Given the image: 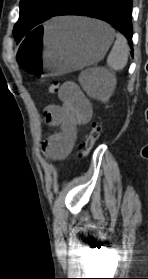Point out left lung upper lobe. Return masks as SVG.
I'll return each instance as SVG.
<instances>
[{"label": "left lung upper lobe", "mask_w": 148, "mask_h": 279, "mask_svg": "<svg viewBox=\"0 0 148 279\" xmlns=\"http://www.w3.org/2000/svg\"><path fill=\"white\" fill-rule=\"evenodd\" d=\"M69 0H20V16L13 35L19 42L40 23L53 17Z\"/></svg>", "instance_id": "obj_1"}]
</instances>
